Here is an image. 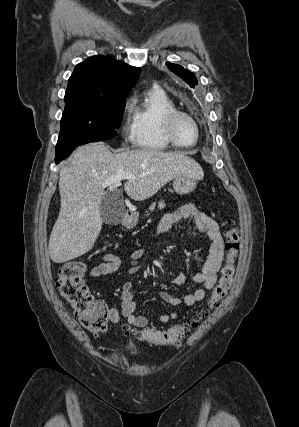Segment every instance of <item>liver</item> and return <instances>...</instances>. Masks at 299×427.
<instances>
[{
	"mask_svg": "<svg viewBox=\"0 0 299 427\" xmlns=\"http://www.w3.org/2000/svg\"><path fill=\"white\" fill-rule=\"evenodd\" d=\"M59 172L61 208L49 239L53 262L64 263L92 249L102 228L100 203L106 194L103 183L119 173H131L124 190L135 201L156 194L179 176L202 179L201 166L180 152L153 149L112 153L104 143L80 146Z\"/></svg>",
	"mask_w": 299,
	"mask_h": 427,
	"instance_id": "6515ba94",
	"label": "liver"
}]
</instances>
